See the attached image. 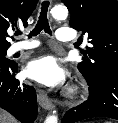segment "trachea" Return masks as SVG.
Masks as SVG:
<instances>
[{"label": "trachea", "instance_id": "1", "mask_svg": "<svg viewBox=\"0 0 118 123\" xmlns=\"http://www.w3.org/2000/svg\"><path fill=\"white\" fill-rule=\"evenodd\" d=\"M48 7H49V1H44L41 6L38 22L35 28L28 35L29 38H31L32 36H37L42 30H44L45 33H48L51 35L52 32L50 30V26H49V22L47 18ZM20 34H21L20 31L15 32L16 36Z\"/></svg>", "mask_w": 118, "mask_h": 123}]
</instances>
